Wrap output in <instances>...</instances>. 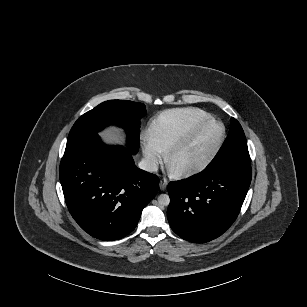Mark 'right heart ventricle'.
Masks as SVG:
<instances>
[{
  "label": "right heart ventricle",
  "instance_id": "1",
  "mask_svg": "<svg viewBox=\"0 0 307 307\" xmlns=\"http://www.w3.org/2000/svg\"><path fill=\"white\" fill-rule=\"evenodd\" d=\"M212 119L211 114L197 108L169 109L160 112L151 121L149 132L161 151L168 152Z\"/></svg>",
  "mask_w": 307,
  "mask_h": 307
}]
</instances>
